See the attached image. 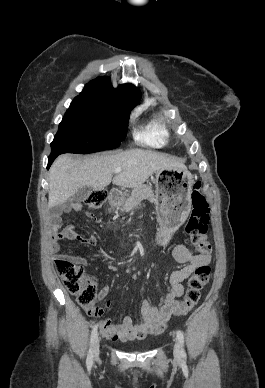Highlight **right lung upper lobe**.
I'll return each instance as SVG.
<instances>
[{
    "label": "right lung upper lobe",
    "instance_id": "1",
    "mask_svg": "<svg viewBox=\"0 0 265 388\" xmlns=\"http://www.w3.org/2000/svg\"><path fill=\"white\" fill-rule=\"evenodd\" d=\"M79 96L109 97L130 103H138L140 100V91L130 83L122 84L114 89L109 78L98 77L85 85Z\"/></svg>",
    "mask_w": 265,
    "mask_h": 388
}]
</instances>
